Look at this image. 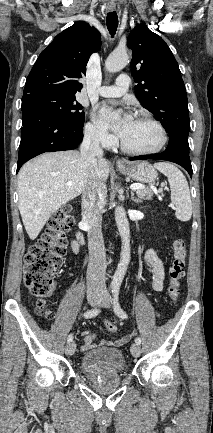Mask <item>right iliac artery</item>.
Returning <instances> with one entry per match:
<instances>
[{"instance_id":"1","label":"right iliac artery","mask_w":213,"mask_h":433,"mask_svg":"<svg viewBox=\"0 0 213 433\" xmlns=\"http://www.w3.org/2000/svg\"><path fill=\"white\" fill-rule=\"evenodd\" d=\"M99 312H100L99 308H94L92 310H88L87 312H85L83 316H84V318H92V317L97 316L99 314ZM72 340H73V335L70 334L67 338V342L70 343V342H72Z\"/></svg>"}]
</instances>
